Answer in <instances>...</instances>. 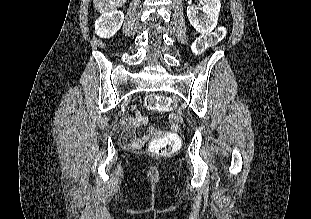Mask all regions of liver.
Instances as JSON below:
<instances>
[{
  "mask_svg": "<svg viewBox=\"0 0 311 219\" xmlns=\"http://www.w3.org/2000/svg\"><path fill=\"white\" fill-rule=\"evenodd\" d=\"M126 0H93L94 7L101 14H106L122 7Z\"/></svg>",
  "mask_w": 311,
  "mask_h": 219,
  "instance_id": "liver-1",
  "label": "liver"
}]
</instances>
